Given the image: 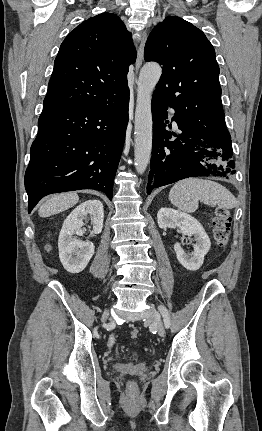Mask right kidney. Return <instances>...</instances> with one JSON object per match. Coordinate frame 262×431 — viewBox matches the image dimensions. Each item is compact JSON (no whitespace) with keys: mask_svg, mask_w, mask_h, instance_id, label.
<instances>
[{"mask_svg":"<svg viewBox=\"0 0 262 431\" xmlns=\"http://www.w3.org/2000/svg\"><path fill=\"white\" fill-rule=\"evenodd\" d=\"M93 221L91 234H99L103 228L104 210L99 200H88L77 206L65 219L59 234V258L63 267L70 273H79L85 269L94 254V245L81 241L74 235L82 236L85 218Z\"/></svg>","mask_w":262,"mask_h":431,"instance_id":"obj_1","label":"right kidney"}]
</instances>
